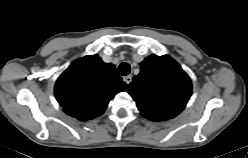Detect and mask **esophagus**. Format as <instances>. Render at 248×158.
I'll return each instance as SVG.
<instances>
[{
	"instance_id": "obj_1",
	"label": "esophagus",
	"mask_w": 248,
	"mask_h": 158,
	"mask_svg": "<svg viewBox=\"0 0 248 158\" xmlns=\"http://www.w3.org/2000/svg\"><path fill=\"white\" fill-rule=\"evenodd\" d=\"M123 80L127 85H129L131 83V81H132V76L127 75V76L123 77Z\"/></svg>"
}]
</instances>
